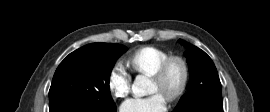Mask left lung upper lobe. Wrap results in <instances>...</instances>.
<instances>
[{
  "instance_id": "1",
  "label": "left lung upper lobe",
  "mask_w": 270,
  "mask_h": 112,
  "mask_svg": "<svg viewBox=\"0 0 270 112\" xmlns=\"http://www.w3.org/2000/svg\"><path fill=\"white\" fill-rule=\"evenodd\" d=\"M179 42L187 49L185 56L190 71V84L173 112L189 109L196 104L223 106L221 83L211 58L201 49L184 41Z\"/></svg>"
}]
</instances>
